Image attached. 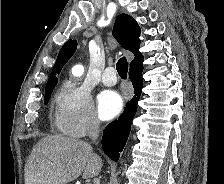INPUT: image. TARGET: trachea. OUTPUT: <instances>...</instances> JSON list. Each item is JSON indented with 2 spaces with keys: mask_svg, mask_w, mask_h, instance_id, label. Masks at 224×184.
Listing matches in <instances>:
<instances>
[{
  "mask_svg": "<svg viewBox=\"0 0 224 184\" xmlns=\"http://www.w3.org/2000/svg\"><path fill=\"white\" fill-rule=\"evenodd\" d=\"M116 70L121 78H127L128 62L125 57H122L118 60L116 64Z\"/></svg>",
  "mask_w": 224,
  "mask_h": 184,
  "instance_id": "3493384b",
  "label": "trachea"
}]
</instances>
